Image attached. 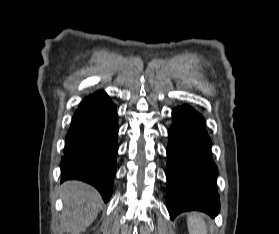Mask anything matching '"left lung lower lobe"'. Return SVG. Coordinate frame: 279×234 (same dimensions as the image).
<instances>
[{
  "mask_svg": "<svg viewBox=\"0 0 279 234\" xmlns=\"http://www.w3.org/2000/svg\"><path fill=\"white\" fill-rule=\"evenodd\" d=\"M172 116L166 170L170 217L174 219L190 210H201L214 217L220 209L217 167L204 119L188 105L174 109Z\"/></svg>",
  "mask_w": 279,
  "mask_h": 234,
  "instance_id": "0a47b994",
  "label": "left lung lower lobe"
}]
</instances>
